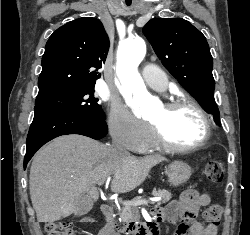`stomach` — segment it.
<instances>
[{
  "instance_id": "stomach-1",
  "label": "stomach",
  "mask_w": 250,
  "mask_h": 235,
  "mask_svg": "<svg viewBox=\"0 0 250 235\" xmlns=\"http://www.w3.org/2000/svg\"><path fill=\"white\" fill-rule=\"evenodd\" d=\"M166 174L169 183L177 187L185 184L189 180L192 169L188 164L182 161H174L168 165Z\"/></svg>"
}]
</instances>
